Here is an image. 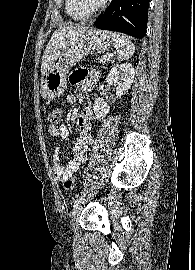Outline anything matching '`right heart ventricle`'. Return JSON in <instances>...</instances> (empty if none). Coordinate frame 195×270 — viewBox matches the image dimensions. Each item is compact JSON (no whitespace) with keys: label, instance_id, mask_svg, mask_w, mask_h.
Segmentation results:
<instances>
[{"label":"right heart ventricle","instance_id":"right-heart-ventricle-1","mask_svg":"<svg viewBox=\"0 0 195 270\" xmlns=\"http://www.w3.org/2000/svg\"><path fill=\"white\" fill-rule=\"evenodd\" d=\"M65 9L67 14L74 20H84L90 16V14L80 11L74 0H65Z\"/></svg>","mask_w":195,"mask_h":270}]
</instances>
